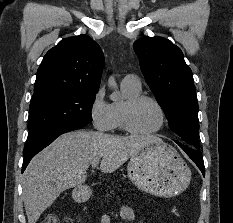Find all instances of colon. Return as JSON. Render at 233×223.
<instances>
[{
  "mask_svg": "<svg viewBox=\"0 0 233 223\" xmlns=\"http://www.w3.org/2000/svg\"><path fill=\"white\" fill-rule=\"evenodd\" d=\"M43 223H60V221L55 214L51 213L43 220Z\"/></svg>",
  "mask_w": 233,
  "mask_h": 223,
  "instance_id": "5ec220e1",
  "label": "colon"
}]
</instances>
